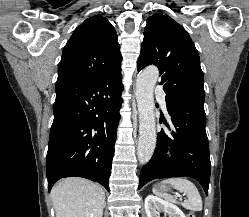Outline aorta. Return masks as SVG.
Wrapping results in <instances>:
<instances>
[{
	"label": "aorta",
	"mask_w": 249,
	"mask_h": 217,
	"mask_svg": "<svg viewBox=\"0 0 249 217\" xmlns=\"http://www.w3.org/2000/svg\"><path fill=\"white\" fill-rule=\"evenodd\" d=\"M158 77V68L149 66L136 80V100L140 119L137 157L141 164H146L151 159L156 146L153 92Z\"/></svg>",
	"instance_id": "1"
}]
</instances>
